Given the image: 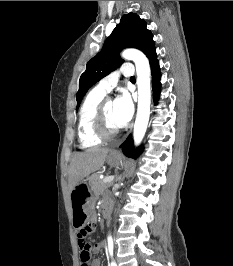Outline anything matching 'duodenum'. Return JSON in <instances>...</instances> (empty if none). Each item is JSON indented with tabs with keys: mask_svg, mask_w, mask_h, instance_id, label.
Wrapping results in <instances>:
<instances>
[{
	"mask_svg": "<svg viewBox=\"0 0 233 266\" xmlns=\"http://www.w3.org/2000/svg\"><path fill=\"white\" fill-rule=\"evenodd\" d=\"M103 216L106 217L110 213V207L108 204L103 205V210H102Z\"/></svg>",
	"mask_w": 233,
	"mask_h": 266,
	"instance_id": "410a0bca",
	"label": "duodenum"
}]
</instances>
